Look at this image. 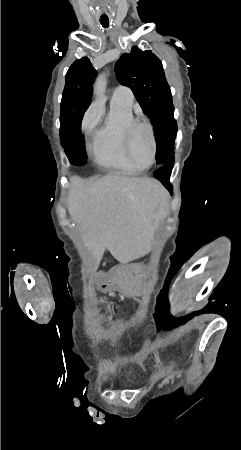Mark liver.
I'll use <instances>...</instances> for the list:
<instances>
[{
    "label": "liver",
    "mask_w": 241,
    "mask_h": 450,
    "mask_svg": "<svg viewBox=\"0 0 241 450\" xmlns=\"http://www.w3.org/2000/svg\"><path fill=\"white\" fill-rule=\"evenodd\" d=\"M168 194L153 178H128L109 172L103 178L71 176L68 212L78 224L88 262L97 270L105 248L116 256L127 224L151 226Z\"/></svg>",
    "instance_id": "6515ba94"
}]
</instances>
